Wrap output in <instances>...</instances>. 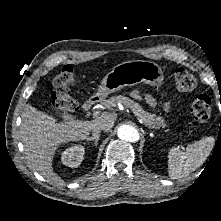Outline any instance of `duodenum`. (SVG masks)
<instances>
[{"instance_id": "1", "label": "duodenum", "mask_w": 221, "mask_h": 221, "mask_svg": "<svg viewBox=\"0 0 221 221\" xmlns=\"http://www.w3.org/2000/svg\"><path fill=\"white\" fill-rule=\"evenodd\" d=\"M97 103V99L92 97V98H89L88 100H86L83 105H82V111L83 112H88L90 111L94 105Z\"/></svg>"}]
</instances>
